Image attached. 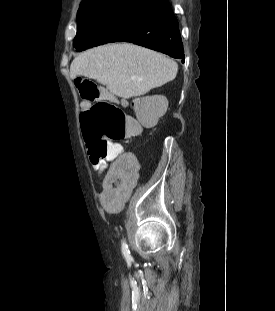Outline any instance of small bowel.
Returning <instances> with one entry per match:
<instances>
[{
    "label": "small bowel",
    "instance_id": "small-bowel-1",
    "mask_svg": "<svg viewBox=\"0 0 275 311\" xmlns=\"http://www.w3.org/2000/svg\"><path fill=\"white\" fill-rule=\"evenodd\" d=\"M81 110L85 111L90 107L89 102L82 101ZM121 155H117L116 160L111 164L110 172L105 177L103 183L100 184L102 211L108 216H115L116 213H122L124 207V199L129 196L139 180V169L141 160H135L136 150H122ZM114 159V158H113ZM105 160L91 159V167L97 173H101L106 168Z\"/></svg>",
    "mask_w": 275,
    "mask_h": 311
}]
</instances>
